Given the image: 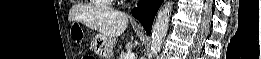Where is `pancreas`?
I'll use <instances>...</instances> for the list:
<instances>
[{
  "label": "pancreas",
  "mask_w": 261,
  "mask_h": 59,
  "mask_svg": "<svg viewBox=\"0 0 261 59\" xmlns=\"http://www.w3.org/2000/svg\"><path fill=\"white\" fill-rule=\"evenodd\" d=\"M127 52H121L119 59H125Z\"/></svg>",
  "instance_id": "obj_1"
}]
</instances>
